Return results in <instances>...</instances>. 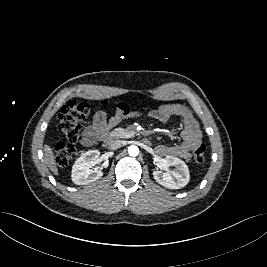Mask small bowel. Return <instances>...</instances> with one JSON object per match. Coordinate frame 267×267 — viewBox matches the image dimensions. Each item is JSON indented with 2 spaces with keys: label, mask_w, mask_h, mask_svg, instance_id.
<instances>
[{
  "label": "small bowel",
  "mask_w": 267,
  "mask_h": 267,
  "mask_svg": "<svg viewBox=\"0 0 267 267\" xmlns=\"http://www.w3.org/2000/svg\"><path fill=\"white\" fill-rule=\"evenodd\" d=\"M136 114L126 103H119L115 115L110 119H107L105 112L96 111L91 124L84 130L83 144L85 146L95 145L105 138L109 130L116 127L124 119L133 117ZM150 115L160 122H167L172 118H179L182 121L181 143L158 145L155 148V152L161 156H174L188 160L192 150L201 144L202 138L199 125L191 111L182 104H166L153 110Z\"/></svg>",
  "instance_id": "c3829d8e"
}]
</instances>
